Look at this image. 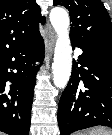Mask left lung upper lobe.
Returning a JSON list of instances; mask_svg holds the SVG:
<instances>
[{"label": "left lung upper lobe", "mask_w": 112, "mask_h": 135, "mask_svg": "<svg viewBox=\"0 0 112 135\" xmlns=\"http://www.w3.org/2000/svg\"><path fill=\"white\" fill-rule=\"evenodd\" d=\"M69 10L71 42L112 51V23L100 0H53Z\"/></svg>", "instance_id": "obj_1"}]
</instances>
